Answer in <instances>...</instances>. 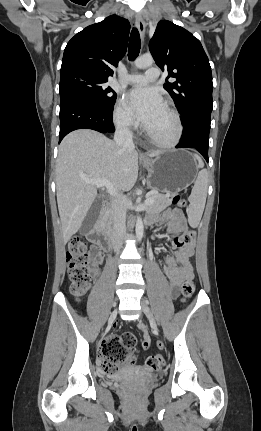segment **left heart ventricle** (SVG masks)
I'll return each instance as SVG.
<instances>
[{
  "instance_id": "left-heart-ventricle-1",
  "label": "left heart ventricle",
  "mask_w": 261,
  "mask_h": 431,
  "mask_svg": "<svg viewBox=\"0 0 261 431\" xmlns=\"http://www.w3.org/2000/svg\"><path fill=\"white\" fill-rule=\"evenodd\" d=\"M146 129L159 140L171 139L176 130V125L171 113L163 107L153 118Z\"/></svg>"
}]
</instances>
